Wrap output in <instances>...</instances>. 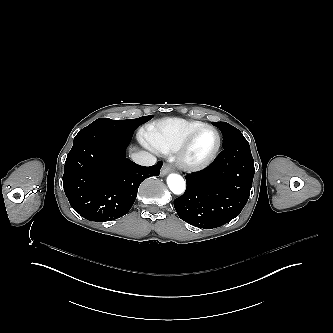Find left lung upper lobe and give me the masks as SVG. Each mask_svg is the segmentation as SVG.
I'll return each mask as SVG.
<instances>
[{
	"label": "left lung upper lobe",
	"mask_w": 333,
	"mask_h": 333,
	"mask_svg": "<svg viewBox=\"0 0 333 333\" xmlns=\"http://www.w3.org/2000/svg\"><path fill=\"white\" fill-rule=\"evenodd\" d=\"M212 124L220 129L223 135V148L234 143L246 141L242 133L232 125L226 122H212Z\"/></svg>",
	"instance_id": "5c2ea615"
}]
</instances>
